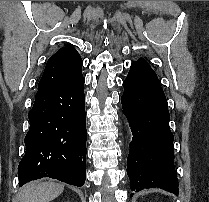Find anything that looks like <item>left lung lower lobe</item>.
Listing matches in <instances>:
<instances>
[{
  "mask_svg": "<svg viewBox=\"0 0 209 202\" xmlns=\"http://www.w3.org/2000/svg\"><path fill=\"white\" fill-rule=\"evenodd\" d=\"M123 113L133 134L127 158L130 189L159 187L178 194L168 104L156 73L133 62L123 82Z\"/></svg>",
  "mask_w": 209,
  "mask_h": 202,
  "instance_id": "0a47b994",
  "label": "left lung lower lobe"
}]
</instances>
